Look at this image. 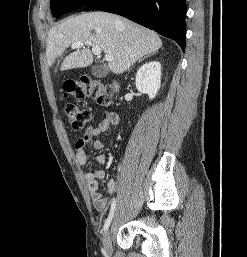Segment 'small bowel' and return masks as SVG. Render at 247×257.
Returning <instances> with one entry per match:
<instances>
[{
    "label": "small bowel",
    "mask_w": 247,
    "mask_h": 257,
    "mask_svg": "<svg viewBox=\"0 0 247 257\" xmlns=\"http://www.w3.org/2000/svg\"><path fill=\"white\" fill-rule=\"evenodd\" d=\"M119 121V115L110 112L95 127H89L84 135L77 140L75 144V156L80 166L84 167L88 163L85 147L91 143L95 137L107 131L110 126L118 125ZM105 145L106 143L104 141L95 140L92 147L94 150H100ZM96 160L100 166H104L107 162V158L104 154H99ZM105 176L106 171L103 168H100L95 172H87L84 174V179L87 183L93 205L99 212H106L109 204L108 199L99 191V180H103ZM116 188L117 183L115 179H110L107 183V192L112 195L116 192Z\"/></svg>",
    "instance_id": "1"
}]
</instances>
